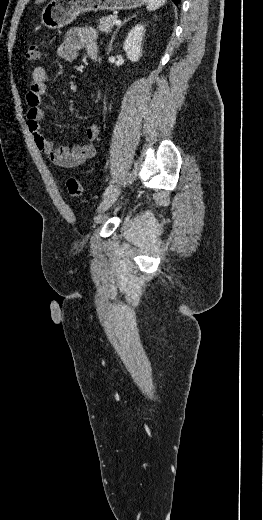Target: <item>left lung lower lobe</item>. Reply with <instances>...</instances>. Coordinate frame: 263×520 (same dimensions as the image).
Segmentation results:
<instances>
[{"label":"left lung lower lobe","instance_id":"0a47b994","mask_svg":"<svg viewBox=\"0 0 263 520\" xmlns=\"http://www.w3.org/2000/svg\"><path fill=\"white\" fill-rule=\"evenodd\" d=\"M173 2L177 5L180 2V0H173Z\"/></svg>","mask_w":263,"mask_h":520}]
</instances>
